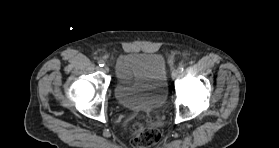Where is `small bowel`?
Returning <instances> with one entry per match:
<instances>
[{
  "instance_id": "obj_1",
  "label": "small bowel",
  "mask_w": 279,
  "mask_h": 148,
  "mask_svg": "<svg viewBox=\"0 0 279 148\" xmlns=\"http://www.w3.org/2000/svg\"><path fill=\"white\" fill-rule=\"evenodd\" d=\"M121 75L124 77V78H129L128 74L125 72V70H121Z\"/></svg>"
}]
</instances>
